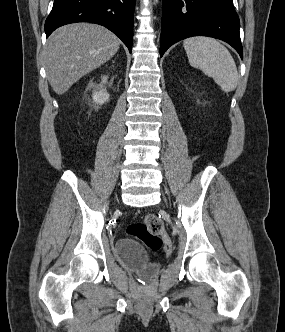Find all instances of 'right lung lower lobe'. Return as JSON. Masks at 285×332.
Listing matches in <instances>:
<instances>
[{"label": "right lung lower lobe", "instance_id": "obj_1", "mask_svg": "<svg viewBox=\"0 0 285 332\" xmlns=\"http://www.w3.org/2000/svg\"><path fill=\"white\" fill-rule=\"evenodd\" d=\"M136 0H54L45 22L48 37L60 26L75 22H92L114 32L131 52L133 16Z\"/></svg>", "mask_w": 285, "mask_h": 332}]
</instances>
